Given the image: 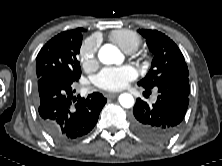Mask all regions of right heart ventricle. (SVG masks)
<instances>
[{
    "mask_svg": "<svg viewBox=\"0 0 222 166\" xmlns=\"http://www.w3.org/2000/svg\"><path fill=\"white\" fill-rule=\"evenodd\" d=\"M110 39L126 53L135 52L141 45V37L136 32L128 29L111 32Z\"/></svg>",
    "mask_w": 222,
    "mask_h": 166,
    "instance_id": "right-heart-ventricle-1",
    "label": "right heart ventricle"
}]
</instances>
